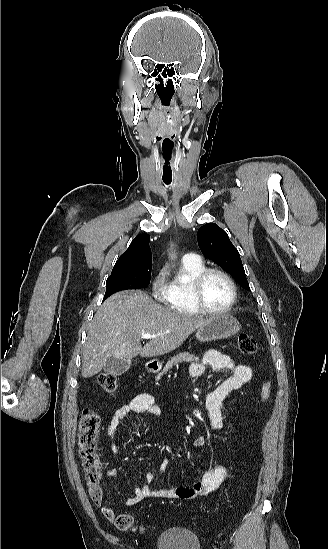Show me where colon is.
Masks as SVG:
<instances>
[{"label":"colon","instance_id":"5ec220e1","mask_svg":"<svg viewBox=\"0 0 328 549\" xmlns=\"http://www.w3.org/2000/svg\"><path fill=\"white\" fill-rule=\"evenodd\" d=\"M238 348L245 355H252L257 352L256 340L248 334H240L238 337ZM100 388L113 393L118 387L116 376L111 373H102L98 377ZM271 394V384L266 382L261 388L260 400L266 402ZM100 428V417L91 409H85L79 421V456L83 466L85 479L88 484L89 493L97 504L103 500V489L100 484L101 463L97 454V440ZM114 521L115 526L126 532H136L141 528L136 524L134 518L127 513L108 515Z\"/></svg>","mask_w":328,"mask_h":549}]
</instances>
